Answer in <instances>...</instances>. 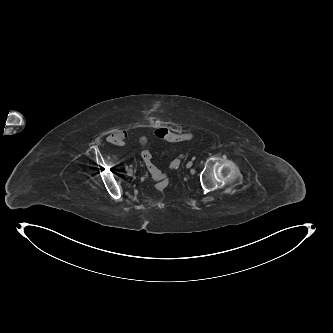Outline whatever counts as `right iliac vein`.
<instances>
[{"label": "right iliac vein", "instance_id": "obj_1", "mask_svg": "<svg viewBox=\"0 0 333 333\" xmlns=\"http://www.w3.org/2000/svg\"><path fill=\"white\" fill-rule=\"evenodd\" d=\"M132 173H133V171H132V169H131V170L128 171L127 175H128V176H132Z\"/></svg>", "mask_w": 333, "mask_h": 333}]
</instances>
